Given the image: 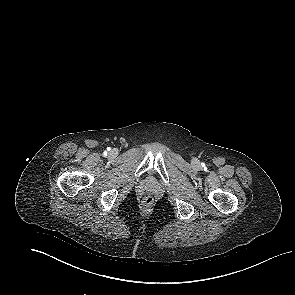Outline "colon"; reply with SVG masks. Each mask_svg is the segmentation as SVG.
<instances>
[{
	"label": "colon",
	"mask_w": 295,
	"mask_h": 295,
	"mask_svg": "<svg viewBox=\"0 0 295 295\" xmlns=\"http://www.w3.org/2000/svg\"><path fill=\"white\" fill-rule=\"evenodd\" d=\"M146 204H151L153 202V197L151 195H146L144 198Z\"/></svg>",
	"instance_id": "1"
}]
</instances>
